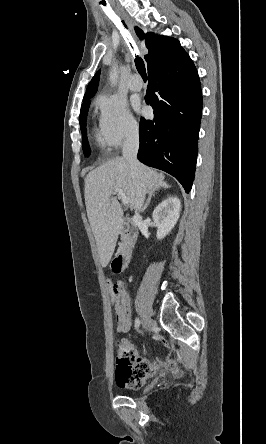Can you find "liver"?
Segmentation results:
<instances>
[{
  "mask_svg": "<svg viewBox=\"0 0 266 444\" xmlns=\"http://www.w3.org/2000/svg\"><path fill=\"white\" fill-rule=\"evenodd\" d=\"M141 165V179L134 175L126 159L116 157L89 172L85 178V204L89 223L97 244L102 267H106L114 253L123 224V211L114 189H122L135 208L138 187L143 182L147 192L154 193L164 182V175Z\"/></svg>",
  "mask_w": 266,
  "mask_h": 444,
  "instance_id": "1",
  "label": "liver"
}]
</instances>
